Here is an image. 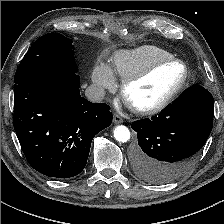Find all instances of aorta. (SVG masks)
<instances>
[{"label":"aorta","instance_id":"762f6f07","mask_svg":"<svg viewBox=\"0 0 224 224\" xmlns=\"http://www.w3.org/2000/svg\"><path fill=\"white\" fill-rule=\"evenodd\" d=\"M114 138L119 142H127L130 139V131L124 125H119L114 129Z\"/></svg>","mask_w":224,"mask_h":224}]
</instances>
